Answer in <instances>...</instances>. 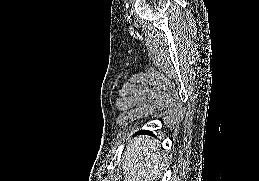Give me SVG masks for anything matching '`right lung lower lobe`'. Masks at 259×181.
<instances>
[{"label": "right lung lower lobe", "instance_id": "98d812e1", "mask_svg": "<svg viewBox=\"0 0 259 181\" xmlns=\"http://www.w3.org/2000/svg\"><path fill=\"white\" fill-rule=\"evenodd\" d=\"M137 133L138 134H152V132L148 131V130H141V131H138Z\"/></svg>", "mask_w": 259, "mask_h": 181}]
</instances>
